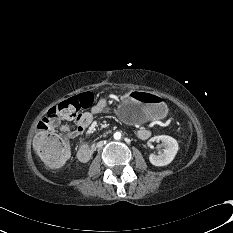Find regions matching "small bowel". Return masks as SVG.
<instances>
[{
  "label": "small bowel",
  "instance_id": "1",
  "mask_svg": "<svg viewBox=\"0 0 233 233\" xmlns=\"http://www.w3.org/2000/svg\"><path fill=\"white\" fill-rule=\"evenodd\" d=\"M107 112V100L105 98H101L93 105V107L89 111L80 113L76 117L65 118L59 116L58 114H49L43 119L47 120L49 129L52 132H60L71 138H75L84 133L86 128L92 123L95 116L105 114ZM64 120H72L74 122V125L70 126L68 124H64ZM137 135L140 139L144 140L150 137L151 132L146 127H140L137 131Z\"/></svg>",
  "mask_w": 233,
  "mask_h": 233
}]
</instances>
